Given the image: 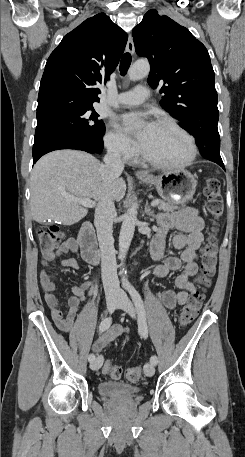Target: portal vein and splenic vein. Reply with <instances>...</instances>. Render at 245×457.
Listing matches in <instances>:
<instances>
[{
	"mask_svg": "<svg viewBox=\"0 0 245 457\" xmlns=\"http://www.w3.org/2000/svg\"><path fill=\"white\" fill-rule=\"evenodd\" d=\"M67 200H74V202H79V204H83V206H89V208H92V206H95L96 202L95 200H90V198H78V196H65ZM155 204H159V200H152L151 206H155Z\"/></svg>",
	"mask_w": 245,
	"mask_h": 457,
	"instance_id": "portal-vein-and-splenic-vein-1",
	"label": "portal vein and splenic vein"
}]
</instances>
